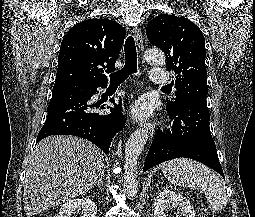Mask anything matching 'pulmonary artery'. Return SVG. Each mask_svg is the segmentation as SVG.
<instances>
[{
    "label": "pulmonary artery",
    "instance_id": "1",
    "mask_svg": "<svg viewBox=\"0 0 255 217\" xmlns=\"http://www.w3.org/2000/svg\"><path fill=\"white\" fill-rule=\"evenodd\" d=\"M150 79L152 82L160 85L169 83V75L163 73L160 69H153L150 73Z\"/></svg>",
    "mask_w": 255,
    "mask_h": 217
}]
</instances>
